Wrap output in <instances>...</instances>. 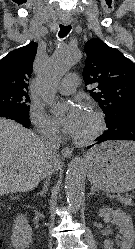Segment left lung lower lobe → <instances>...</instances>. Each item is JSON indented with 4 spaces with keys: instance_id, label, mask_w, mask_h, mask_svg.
<instances>
[{
    "instance_id": "left-lung-lower-lobe-1",
    "label": "left lung lower lobe",
    "mask_w": 135,
    "mask_h": 249,
    "mask_svg": "<svg viewBox=\"0 0 135 249\" xmlns=\"http://www.w3.org/2000/svg\"><path fill=\"white\" fill-rule=\"evenodd\" d=\"M108 130L99 138L97 143L107 140L135 141V110H126L114 123L107 124ZM91 146H88L89 149Z\"/></svg>"
}]
</instances>
